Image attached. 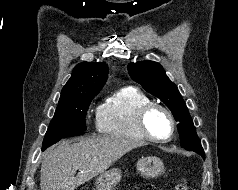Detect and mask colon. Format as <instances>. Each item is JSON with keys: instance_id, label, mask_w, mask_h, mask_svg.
<instances>
[{"instance_id": "1", "label": "colon", "mask_w": 238, "mask_h": 190, "mask_svg": "<svg viewBox=\"0 0 238 190\" xmlns=\"http://www.w3.org/2000/svg\"><path fill=\"white\" fill-rule=\"evenodd\" d=\"M175 190H186L185 183H180L176 186Z\"/></svg>"}]
</instances>
